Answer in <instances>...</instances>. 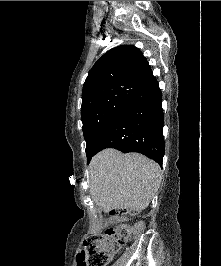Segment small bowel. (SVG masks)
I'll return each instance as SVG.
<instances>
[{"instance_id": "small-bowel-1", "label": "small bowel", "mask_w": 221, "mask_h": 266, "mask_svg": "<svg viewBox=\"0 0 221 266\" xmlns=\"http://www.w3.org/2000/svg\"><path fill=\"white\" fill-rule=\"evenodd\" d=\"M79 251H84L85 247L84 246H79L78 247ZM74 257L76 258V262L75 265L76 266H87L86 262H85V252H74Z\"/></svg>"}]
</instances>
